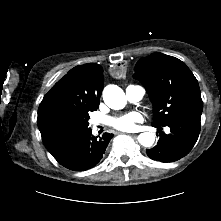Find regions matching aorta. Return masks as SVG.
I'll return each mask as SVG.
<instances>
[{
	"label": "aorta",
	"mask_w": 221,
	"mask_h": 221,
	"mask_svg": "<svg viewBox=\"0 0 221 221\" xmlns=\"http://www.w3.org/2000/svg\"><path fill=\"white\" fill-rule=\"evenodd\" d=\"M103 100L105 104L114 110L125 107L127 99L123 90L117 85H108L103 90ZM139 143L144 147H150L154 144L155 135L151 132H144L138 136Z\"/></svg>",
	"instance_id": "762f6f07"
}]
</instances>
